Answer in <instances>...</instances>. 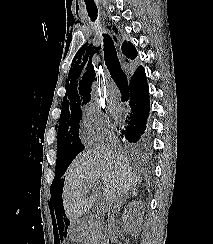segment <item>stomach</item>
Instances as JSON below:
<instances>
[{
	"instance_id": "1",
	"label": "stomach",
	"mask_w": 213,
	"mask_h": 244,
	"mask_svg": "<svg viewBox=\"0 0 213 244\" xmlns=\"http://www.w3.org/2000/svg\"><path fill=\"white\" fill-rule=\"evenodd\" d=\"M84 235V221H72L70 236L77 241H81L84 239Z\"/></svg>"
}]
</instances>
